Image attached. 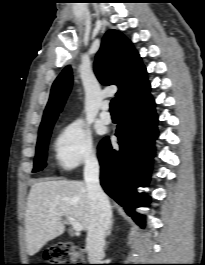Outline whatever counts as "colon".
<instances>
[{"label": "colon", "mask_w": 205, "mask_h": 265, "mask_svg": "<svg viewBox=\"0 0 205 265\" xmlns=\"http://www.w3.org/2000/svg\"><path fill=\"white\" fill-rule=\"evenodd\" d=\"M84 255V248H76L68 243H60L46 251L45 259L49 264L45 265H82L71 263H80Z\"/></svg>", "instance_id": "5ec220e1"}]
</instances>
